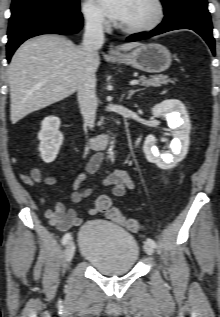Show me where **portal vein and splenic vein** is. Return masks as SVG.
I'll use <instances>...</instances> for the list:
<instances>
[{
  "label": "portal vein and splenic vein",
  "instance_id": "obj_1",
  "mask_svg": "<svg viewBox=\"0 0 220 317\" xmlns=\"http://www.w3.org/2000/svg\"><path fill=\"white\" fill-rule=\"evenodd\" d=\"M139 80H132V81H130V85H137V84H139Z\"/></svg>",
  "mask_w": 220,
  "mask_h": 317
}]
</instances>
